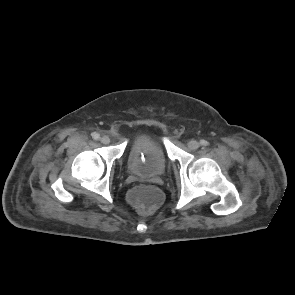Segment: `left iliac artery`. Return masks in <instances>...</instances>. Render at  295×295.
<instances>
[{
    "mask_svg": "<svg viewBox=\"0 0 295 295\" xmlns=\"http://www.w3.org/2000/svg\"><path fill=\"white\" fill-rule=\"evenodd\" d=\"M200 143H201V145H203V146H207V145H208V142L205 141V140H201Z\"/></svg>",
    "mask_w": 295,
    "mask_h": 295,
    "instance_id": "44dca946",
    "label": "left iliac artery"
}]
</instances>
